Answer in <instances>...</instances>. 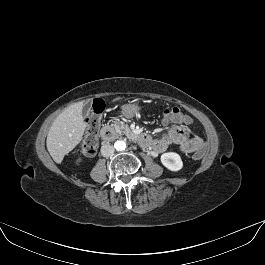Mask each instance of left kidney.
<instances>
[{
    "instance_id": "5707ae66",
    "label": "left kidney",
    "mask_w": 265,
    "mask_h": 265,
    "mask_svg": "<svg viewBox=\"0 0 265 265\" xmlns=\"http://www.w3.org/2000/svg\"><path fill=\"white\" fill-rule=\"evenodd\" d=\"M161 163L170 171H179L183 167V162L179 154L167 152L161 155Z\"/></svg>"
}]
</instances>
